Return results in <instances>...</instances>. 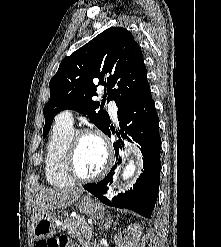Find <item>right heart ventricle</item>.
I'll return each mask as SVG.
<instances>
[{
  "mask_svg": "<svg viewBox=\"0 0 221 247\" xmlns=\"http://www.w3.org/2000/svg\"><path fill=\"white\" fill-rule=\"evenodd\" d=\"M72 125L56 121L48 139L45 152V176L48 183L57 188L70 187L75 184L66 171V154L73 136Z\"/></svg>",
  "mask_w": 221,
  "mask_h": 247,
  "instance_id": "e07e8e85",
  "label": "right heart ventricle"
}]
</instances>
